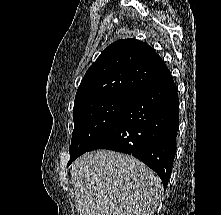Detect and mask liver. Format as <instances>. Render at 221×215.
Here are the masks:
<instances>
[{
	"label": "liver",
	"mask_w": 221,
	"mask_h": 215,
	"mask_svg": "<svg viewBox=\"0 0 221 215\" xmlns=\"http://www.w3.org/2000/svg\"><path fill=\"white\" fill-rule=\"evenodd\" d=\"M71 177L80 215H153L163 192L143 162L109 150L79 157Z\"/></svg>",
	"instance_id": "1"
}]
</instances>
